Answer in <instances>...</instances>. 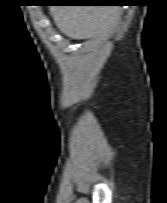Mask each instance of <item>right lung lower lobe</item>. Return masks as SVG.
Instances as JSON below:
<instances>
[{"mask_svg":"<svg viewBox=\"0 0 167 203\" xmlns=\"http://www.w3.org/2000/svg\"><path fill=\"white\" fill-rule=\"evenodd\" d=\"M91 5V4H90ZM93 5V4H92ZM95 5V4H94ZM97 5V4H96ZM99 5V4H98ZM100 5H122V4H115L111 2H101Z\"/></svg>","mask_w":167,"mask_h":203,"instance_id":"98d812e1","label":"right lung lower lobe"}]
</instances>
